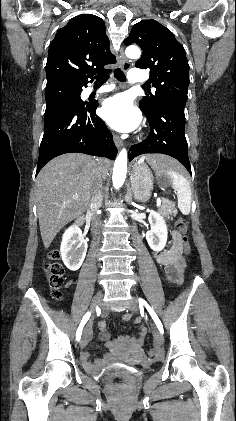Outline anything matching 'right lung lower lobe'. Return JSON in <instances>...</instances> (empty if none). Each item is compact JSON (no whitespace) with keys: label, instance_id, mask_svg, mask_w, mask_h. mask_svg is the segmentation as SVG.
<instances>
[{"label":"right lung lower lobe","instance_id":"1","mask_svg":"<svg viewBox=\"0 0 236 421\" xmlns=\"http://www.w3.org/2000/svg\"><path fill=\"white\" fill-rule=\"evenodd\" d=\"M97 106L94 101L85 102L82 107L61 105L45 111L36 175L48 161L65 153L79 152L115 159L117 148L112 134L95 113Z\"/></svg>","mask_w":236,"mask_h":421}]
</instances>
